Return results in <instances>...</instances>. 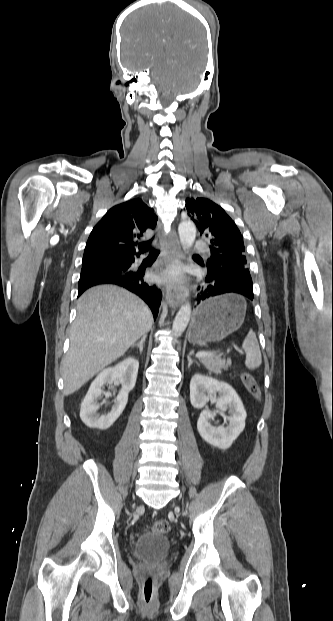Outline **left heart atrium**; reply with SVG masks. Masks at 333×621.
<instances>
[{
  "instance_id": "obj_1",
  "label": "left heart atrium",
  "mask_w": 333,
  "mask_h": 621,
  "mask_svg": "<svg viewBox=\"0 0 333 621\" xmlns=\"http://www.w3.org/2000/svg\"><path fill=\"white\" fill-rule=\"evenodd\" d=\"M166 277L171 281H175L178 277V271L175 268H170L166 272Z\"/></svg>"
}]
</instances>
